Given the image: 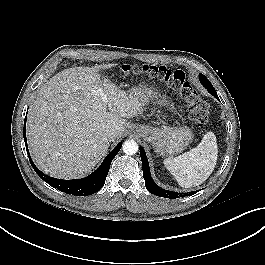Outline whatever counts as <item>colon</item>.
Wrapping results in <instances>:
<instances>
[{
	"mask_svg": "<svg viewBox=\"0 0 265 265\" xmlns=\"http://www.w3.org/2000/svg\"><path fill=\"white\" fill-rule=\"evenodd\" d=\"M121 73L131 78L146 77L167 84L186 101L192 122L199 126L207 123L209 105L197 94L184 71L155 65H124Z\"/></svg>",
	"mask_w": 265,
	"mask_h": 265,
	"instance_id": "colon-1",
	"label": "colon"
}]
</instances>
